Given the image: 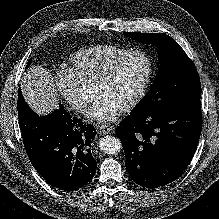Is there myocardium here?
<instances>
[{
    "mask_svg": "<svg viewBox=\"0 0 219 219\" xmlns=\"http://www.w3.org/2000/svg\"><path fill=\"white\" fill-rule=\"evenodd\" d=\"M133 56L143 57L147 63V70L143 82L138 92L134 96V98L129 103H127L126 105L120 108L122 112H130L131 110H133L141 103V101L144 99L145 95L147 94L150 84L152 82L154 69H155L154 61L151 55L144 50H131L125 53L124 55L120 56L114 62H112L97 79V83L99 84L109 81V79L116 73V71L120 68V66L128 58H131Z\"/></svg>",
    "mask_w": 219,
    "mask_h": 219,
    "instance_id": "f54148a6",
    "label": "myocardium"
}]
</instances>
